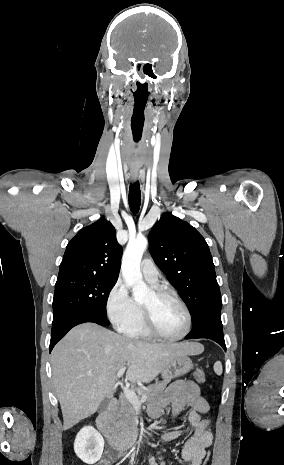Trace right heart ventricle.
<instances>
[{
  "label": "right heart ventricle",
  "instance_id": "obj_1",
  "mask_svg": "<svg viewBox=\"0 0 284 465\" xmlns=\"http://www.w3.org/2000/svg\"><path fill=\"white\" fill-rule=\"evenodd\" d=\"M142 321H144V318L142 309L140 308L139 314L137 315L134 322L122 330L124 335L131 339L148 340L150 337L146 334L141 323Z\"/></svg>",
  "mask_w": 284,
  "mask_h": 465
}]
</instances>
